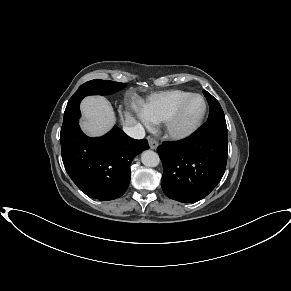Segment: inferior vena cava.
<instances>
[{
	"label": "inferior vena cava",
	"mask_w": 291,
	"mask_h": 291,
	"mask_svg": "<svg viewBox=\"0 0 291 291\" xmlns=\"http://www.w3.org/2000/svg\"><path fill=\"white\" fill-rule=\"evenodd\" d=\"M124 132L134 139H143L145 136L144 127L139 123L131 126H125Z\"/></svg>",
	"instance_id": "inferior-vena-cava-1"
}]
</instances>
